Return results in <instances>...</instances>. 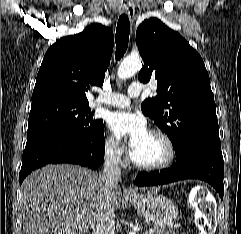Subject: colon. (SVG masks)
Returning <instances> with one entry per match:
<instances>
[{
    "label": "colon",
    "mask_w": 241,
    "mask_h": 234,
    "mask_svg": "<svg viewBox=\"0 0 241 234\" xmlns=\"http://www.w3.org/2000/svg\"><path fill=\"white\" fill-rule=\"evenodd\" d=\"M189 204L196 211L195 225L199 233L203 234L214 212V203L209 198L208 191L205 188H199L191 196Z\"/></svg>",
    "instance_id": "5ec220e1"
}]
</instances>
